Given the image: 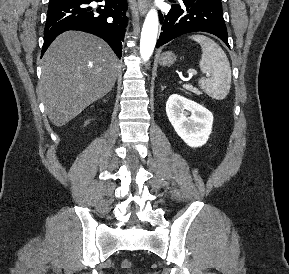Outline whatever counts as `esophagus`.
I'll return each mask as SVG.
<instances>
[{
    "instance_id": "esophagus-1",
    "label": "esophagus",
    "mask_w": 289,
    "mask_h": 274,
    "mask_svg": "<svg viewBox=\"0 0 289 274\" xmlns=\"http://www.w3.org/2000/svg\"><path fill=\"white\" fill-rule=\"evenodd\" d=\"M149 6V0H138L137 7L139 12L144 15L147 12Z\"/></svg>"
}]
</instances>
